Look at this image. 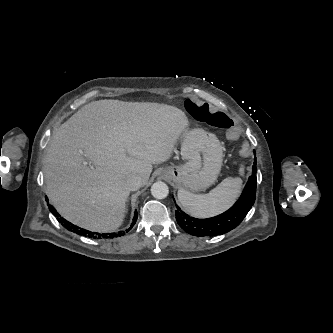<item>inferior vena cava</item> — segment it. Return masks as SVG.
<instances>
[{"label": "inferior vena cava", "instance_id": "obj_1", "mask_svg": "<svg viewBox=\"0 0 333 333\" xmlns=\"http://www.w3.org/2000/svg\"><path fill=\"white\" fill-rule=\"evenodd\" d=\"M142 186V180L138 176H130L126 180V188L129 191L138 190Z\"/></svg>", "mask_w": 333, "mask_h": 333}]
</instances>
